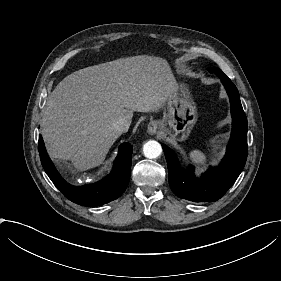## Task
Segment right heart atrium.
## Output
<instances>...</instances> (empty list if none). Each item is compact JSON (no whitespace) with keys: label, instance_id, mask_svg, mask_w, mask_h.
<instances>
[{"label":"right heart atrium","instance_id":"d8ad5b80","mask_svg":"<svg viewBox=\"0 0 281 281\" xmlns=\"http://www.w3.org/2000/svg\"><path fill=\"white\" fill-rule=\"evenodd\" d=\"M127 112H125L121 107H117L115 110V116H125Z\"/></svg>","mask_w":281,"mask_h":281}]
</instances>
